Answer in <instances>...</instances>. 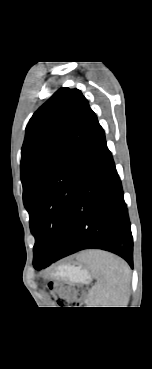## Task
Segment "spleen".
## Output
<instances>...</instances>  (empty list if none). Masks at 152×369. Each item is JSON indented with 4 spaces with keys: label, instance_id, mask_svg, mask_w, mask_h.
Returning <instances> with one entry per match:
<instances>
[{
    "label": "spleen",
    "instance_id": "1",
    "mask_svg": "<svg viewBox=\"0 0 152 369\" xmlns=\"http://www.w3.org/2000/svg\"><path fill=\"white\" fill-rule=\"evenodd\" d=\"M86 260L97 278L88 295L89 304L99 305L92 307H126L130 293L128 265L113 254L98 250L90 251Z\"/></svg>",
    "mask_w": 152,
    "mask_h": 369
}]
</instances>
